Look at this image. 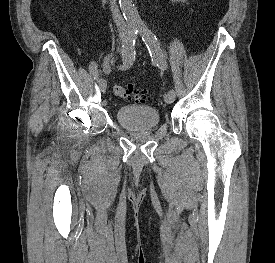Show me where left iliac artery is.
<instances>
[{
  "instance_id": "left-iliac-artery-1",
  "label": "left iliac artery",
  "mask_w": 275,
  "mask_h": 263,
  "mask_svg": "<svg viewBox=\"0 0 275 263\" xmlns=\"http://www.w3.org/2000/svg\"><path fill=\"white\" fill-rule=\"evenodd\" d=\"M137 31L149 50L153 64L158 66L163 71L166 70V58L164 53L162 52L160 43L156 35L151 30H149L145 25L139 26L137 28ZM169 92L175 94V91L173 89L169 90Z\"/></svg>"
}]
</instances>
